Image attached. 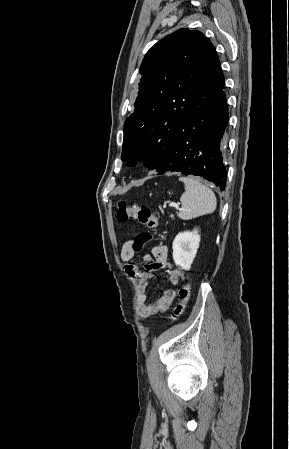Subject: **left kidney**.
Returning a JSON list of instances; mask_svg holds the SVG:
<instances>
[{"label":"left kidney","instance_id":"obj_1","mask_svg":"<svg viewBox=\"0 0 289 449\" xmlns=\"http://www.w3.org/2000/svg\"><path fill=\"white\" fill-rule=\"evenodd\" d=\"M200 235L198 230L186 231L177 234L173 241V260L175 264L184 270H190L193 260L199 248Z\"/></svg>","mask_w":289,"mask_h":449}]
</instances>
